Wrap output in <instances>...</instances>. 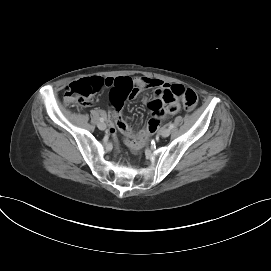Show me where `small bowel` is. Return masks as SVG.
Segmentation results:
<instances>
[{"instance_id": "1", "label": "small bowel", "mask_w": 271, "mask_h": 271, "mask_svg": "<svg viewBox=\"0 0 271 271\" xmlns=\"http://www.w3.org/2000/svg\"><path fill=\"white\" fill-rule=\"evenodd\" d=\"M172 85L159 79H150L146 77H128L121 78H101L97 83V90L111 104L110 117L114 123L111 132L116 130L124 134L128 143L136 145L140 133L135 131L127 124L121 114L122 104L134 96L141 93V88H152L154 90V99L149 101L144 98L143 101L148 103L149 110L152 113V119L159 122L168 114H174L179 110L177 103L172 106H166L162 100L164 90Z\"/></svg>"}]
</instances>
